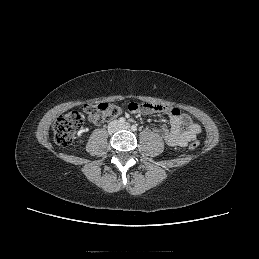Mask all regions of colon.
<instances>
[{
	"mask_svg": "<svg viewBox=\"0 0 259 259\" xmlns=\"http://www.w3.org/2000/svg\"><path fill=\"white\" fill-rule=\"evenodd\" d=\"M84 112L87 114L88 120L94 124H101L119 116L122 113L120 106L100 103L88 104L84 106ZM85 117L80 111H71L59 116L53 125L55 142L60 146H68L75 134L82 128ZM199 147V141L194 140L189 144L191 150Z\"/></svg>",
	"mask_w": 259,
	"mask_h": 259,
	"instance_id": "colon-1",
	"label": "colon"
}]
</instances>
